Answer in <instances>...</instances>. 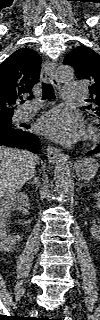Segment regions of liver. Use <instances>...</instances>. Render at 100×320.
Returning <instances> with one entry per match:
<instances>
[{"mask_svg": "<svg viewBox=\"0 0 100 320\" xmlns=\"http://www.w3.org/2000/svg\"><path fill=\"white\" fill-rule=\"evenodd\" d=\"M38 158L31 152L13 148H0V196L15 193L32 179Z\"/></svg>", "mask_w": 100, "mask_h": 320, "instance_id": "1", "label": "liver"}]
</instances>
